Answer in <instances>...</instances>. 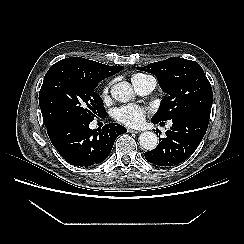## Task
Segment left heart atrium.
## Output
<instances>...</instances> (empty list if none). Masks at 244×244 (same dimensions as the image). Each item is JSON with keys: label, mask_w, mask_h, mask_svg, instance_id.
<instances>
[{"label": "left heart atrium", "mask_w": 244, "mask_h": 244, "mask_svg": "<svg viewBox=\"0 0 244 244\" xmlns=\"http://www.w3.org/2000/svg\"><path fill=\"white\" fill-rule=\"evenodd\" d=\"M146 111L136 105H125L114 111V118L119 123L129 127H139L145 119Z\"/></svg>", "instance_id": "39dd6f15"}]
</instances>
